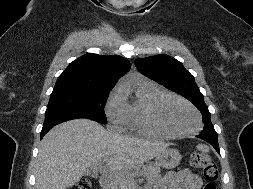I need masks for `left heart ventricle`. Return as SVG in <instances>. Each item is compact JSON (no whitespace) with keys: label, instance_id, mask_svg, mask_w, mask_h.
Returning <instances> with one entry per match:
<instances>
[{"label":"left heart ventricle","instance_id":"left-heart-ventricle-1","mask_svg":"<svg viewBox=\"0 0 253 189\" xmlns=\"http://www.w3.org/2000/svg\"><path fill=\"white\" fill-rule=\"evenodd\" d=\"M160 117L170 129L177 132L189 131L197 126L194 112L186 105L173 99H167L162 103Z\"/></svg>","mask_w":253,"mask_h":189}]
</instances>
